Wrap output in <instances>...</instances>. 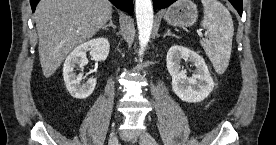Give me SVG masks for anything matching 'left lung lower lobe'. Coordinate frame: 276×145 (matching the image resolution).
<instances>
[{"label": "left lung lower lobe", "instance_id": "1", "mask_svg": "<svg viewBox=\"0 0 276 145\" xmlns=\"http://www.w3.org/2000/svg\"><path fill=\"white\" fill-rule=\"evenodd\" d=\"M176 0H153L154 3V9H162ZM230 3L234 6V8L238 11L239 15L242 16V1L243 0H229Z\"/></svg>", "mask_w": 276, "mask_h": 145}]
</instances>
